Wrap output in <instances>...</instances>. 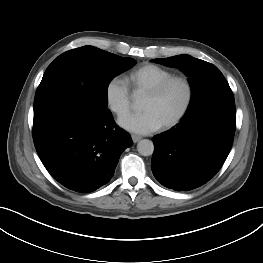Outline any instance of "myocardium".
Masks as SVG:
<instances>
[{
  "mask_svg": "<svg viewBox=\"0 0 263 263\" xmlns=\"http://www.w3.org/2000/svg\"><path fill=\"white\" fill-rule=\"evenodd\" d=\"M176 82H179L184 86L186 91V97L180 110L171 119H169L163 124L164 128H171L174 125H176L178 122L181 121V119L186 115V113L190 109L194 98V88L192 82L188 77L184 75H172L162 80L161 82H159L158 84H156L155 86H153L145 92V94L149 96L158 97L161 96L170 85Z\"/></svg>",
  "mask_w": 263,
  "mask_h": 263,
  "instance_id": "f54148a6",
  "label": "myocardium"
}]
</instances>
